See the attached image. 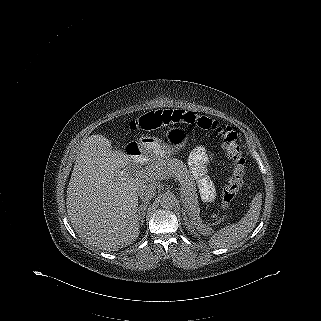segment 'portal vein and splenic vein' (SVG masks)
Instances as JSON below:
<instances>
[{"label":"portal vein and splenic vein","mask_w":321,"mask_h":321,"mask_svg":"<svg viewBox=\"0 0 321 321\" xmlns=\"http://www.w3.org/2000/svg\"><path fill=\"white\" fill-rule=\"evenodd\" d=\"M136 176L138 177H145V178H154V179H158V180H161V179H164L165 178V175L162 174L161 172L155 170V169H148V170H143V171H139V172H136L135 174Z\"/></svg>","instance_id":"18ae733b"}]
</instances>
